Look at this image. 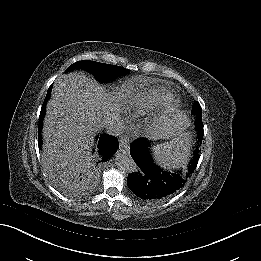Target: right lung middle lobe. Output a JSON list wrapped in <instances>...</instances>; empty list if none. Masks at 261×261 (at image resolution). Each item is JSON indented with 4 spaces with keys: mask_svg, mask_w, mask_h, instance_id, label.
Returning a JSON list of instances; mask_svg holds the SVG:
<instances>
[{
    "mask_svg": "<svg viewBox=\"0 0 261 261\" xmlns=\"http://www.w3.org/2000/svg\"><path fill=\"white\" fill-rule=\"evenodd\" d=\"M73 68H82L90 71L100 81L112 80L117 76L127 74L129 72V70L125 68L93 61H79L72 64L68 69ZM100 167L101 164L99 163L98 155L94 154L93 160L89 162L86 168L84 167V169L80 168L79 170H72L66 167L65 169L53 172L51 176L59 188L69 190V188H71V186L79 180L83 173H85V176H83V181L90 183L91 181H94L93 179L99 172Z\"/></svg>",
    "mask_w": 261,
    "mask_h": 261,
    "instance_id": "1",
    "label": "right lung middle lobe"
}]
</instances>
